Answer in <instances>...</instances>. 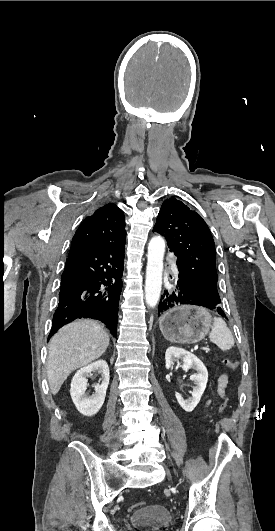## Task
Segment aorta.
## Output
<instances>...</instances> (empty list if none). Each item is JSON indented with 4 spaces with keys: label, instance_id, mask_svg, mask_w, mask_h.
<instances>
[{
    "label": "aorta",
    "instance_id": "1",
    "mask_svg": "<svg viewBox=\"0 0 275 531\" xmlns=\"http://www.w3.org/2000/svg\"><path fill=\"white\" fill-rule=\"evenodd\" d=\"M164 253V239L162 237H153L148 245L145 281V301L151 309L156 307L160 299Z\"/></svg>",
    "mask_w": 275,
    "mask_h": 531
}]
</instances>
